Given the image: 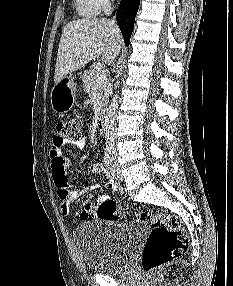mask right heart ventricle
I'll use <instances>...</instances> for the list:
<instances>
[{
	"label": "right heart ventricle",
	"instance_id": "1",
	"mask_svg": "<svg viewBox=\"0 0 233 286\" xmlns=\"http://www.w3.org/2000/svg\"><path fill=\"white\" fill-rule=\"evenodd\" d=\"M75 6L81 17L92 18L103 9L100 0H75Z\"/></svg>",
	"mask_w": 233,
	"mask_h": 286
}]
</instances>
